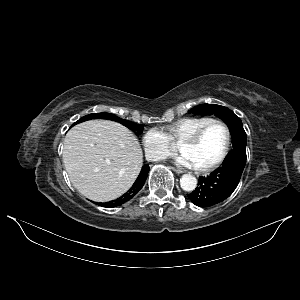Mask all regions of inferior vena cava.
I'll return each mask as SVG.
<instances>
[{
	"label": "inferior vena cava",
	"instance_id": "obj_1",
	"mask_svg": "<svg viewBox=\"0 0 300 300\" xmlns=\"http://www.w3.org/2000/svg\"><path fill=\"white\" fill-rule=\"evenodd\" d=\"M161 158H163L161 155H159V154H154V155H152V156L150 157V160H152V161H157V160H159V159H161Z\"/></svg>",
	"mask_w": 300,
	"mask_h": 300
}]
</instances>
